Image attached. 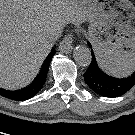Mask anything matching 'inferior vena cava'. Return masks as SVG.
Returning a JSON list of instances; mask_svg holds the SVG:
<instances>
[{
    "mask_svg": "<svg viewBox=\"0 0 135 135\" xmlns=\"http://www.w3.org/2000/svg\"><path fill=\"white\" fill-rule=\"evenodd\" d=\"M61 33L57 32L54 33L53 35H51L48 39H47V45L49 47H52L54 45V43L60 38Z\"/></svg>",
    "mask_w": 135,
    "mask_h": 135,
    "instance_id": "inferior-vena-cava-1",
    "label": "inferior vena cava"
}]
</instances>
